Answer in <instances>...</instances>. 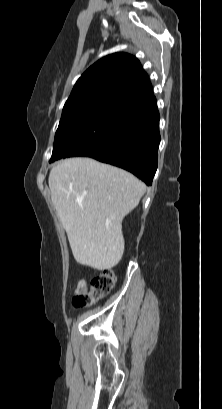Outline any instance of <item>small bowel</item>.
Listing matches in <instances>:
<instances>
[{
	"label": "small bowel",
	"mask_w": 222,
	"mask_h": 409,
	"mask_svg": "<svg viewBox=\"0 0 222 409\" xmlns=\"http://www.w3.org/2000/svg\"><path fill=\"white\" fill-rule=\"evenodd\" d=\"M88 290V282L85 279H80L76 284V293L87 291Z\"/></svg>",
	"instance_id": "small-bowel-1"
}]
</instances>
